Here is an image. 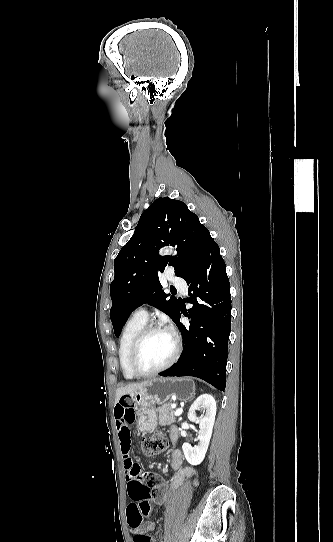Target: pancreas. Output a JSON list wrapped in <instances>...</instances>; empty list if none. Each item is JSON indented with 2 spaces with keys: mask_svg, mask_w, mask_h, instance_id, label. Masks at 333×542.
Returning a JSON list of instances; mask_svg holds the SVG:
<instances>
[{
  "mask_svg": "<svg viewBox=\"0 0 333 542\" xmlns=\"http://www.w3.org/2000/svg\"><path fill=\"white\" fill-rule=\"evenodd\" d=\"M156 412L160 426H171V424H175V410H172L171 404H163V406L157 408Z\"/></svg>",
  "mask_w": 333,
  "mask_h": 542,
  "instance_id": "cf45deb5",
  "label": "pancreas"
}]
</instances>
